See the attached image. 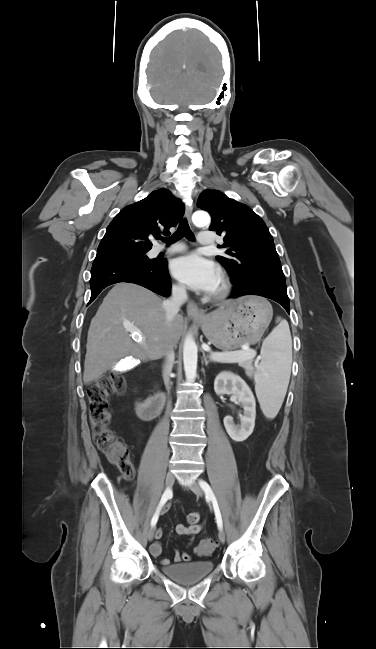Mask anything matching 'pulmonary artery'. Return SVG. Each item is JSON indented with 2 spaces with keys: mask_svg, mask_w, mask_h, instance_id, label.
<instances>
[{
  "mask_svg": "<svg viewBox=\"0 0 376 649\" xmlns=\"http://www.w3.org/2000/svg\"><path fill=\"white\" fill-rule=\"evenodd\" d=\"M198 243L199 245L203 247H209L214 245L215 243V238L212 235V233L208 231H203L200 232L199 237H198ZM184 246L182 245H173L169 248H163L161 246H158L155 248L154 253L159 254V253H177V252H182L184 251Z\"/></svg>",
  "mask_w": 376,
  "mask_h": 649,
  "instance_id": "e3ab8cb5",
  "label": "pulmonary artery"
}]
</instances>
